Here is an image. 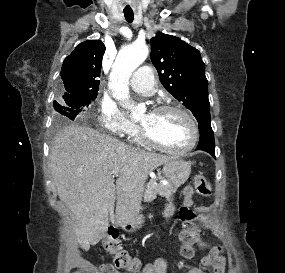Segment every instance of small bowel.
<instances>
[{
  "instance_id": "1",
  "label": "small bowel",
  "mask_w": 285,
  "mask_h": 273,
  "mask_svg": "<svg viewBox=\"0 0 285 273\" xmlns=\"http://www.w3.org/2000/svg\"><path fill=\"white\" fill-rule=\"evenodd\" d=\"M202 248H208L207 242L199 236L197 242ZM202 264L211 269V273H225L226 258L222 255V248L213 246L209 253L203 258ZM168 264L164 260H156L153 263L147 264L142 269L141 273H167ZM186 273H205L197 266H191Z\"/></svg>"
}]
</instances>
